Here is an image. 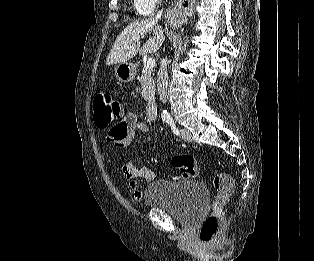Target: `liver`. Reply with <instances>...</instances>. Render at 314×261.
<instances>
[{
	"label": "liver",
	"mask_w": 314,
	"mask_h": 261,
	"mask_svg": "<svg viewBox=\"0 0 314 261\" xmlns=\"http://www.w3.org/2000/svg\"><path fill=\"white\" fill-rule=\"evenodd\" d=\"M158 19H146L130 23L117 37L106 59L107 65L127 62L135 57L140 49V38L153 31L150 38L140 49V54L155 53L162 46L165 35L161 26H156Z\"/></svg>",
	"instance_id": "1"
}]
</instances>
